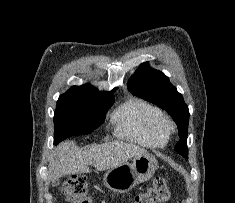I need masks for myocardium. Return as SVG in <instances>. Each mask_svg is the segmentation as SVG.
<instances>
[{
    "instance_id": "f54148a6",
    "label": "myocardium",
    "mask_w": 235,
    "mask_h": 203,
    "mask_svg": "<svg viewBox=\"0 0 235 203\" xmlns=\"http://www.w3.org/2000/svg\"><path fill=\"white\" fill-rule=\"evenodd\" d=\"M175 123L174 121L167 115H162L159 121V129L166 134H171L175 130Z\"/></svg>"
}]
</instances>
